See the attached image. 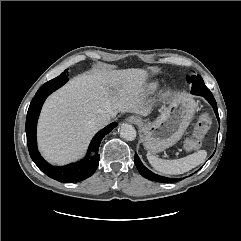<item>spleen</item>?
Segmentation results:
<instances>
[{"label": "spleen", "instance_id": "obj_1", "mask_svg": "<svg viewBox=\"0 0 241 241\" xmlns=\"http://www.w3.org/2000/svg\"><path fill=\"white\" fill-rule=\"evenodd\" d=\"M206 156L207 152L205 150H200L180 159L163 160L151 153H147V159L151 166L160 173L167 175L185 173L203 163Z\"/></svg>", "mask_w": 241, "mask_h": 241}]
</instances>
